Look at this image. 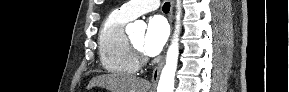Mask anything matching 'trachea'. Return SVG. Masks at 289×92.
I'll return each instance as SVG.
<instances>
[{
    "label": "trachea",
    "mask_w": 289,
    "mask_h": 92,
    "mask_svg": "<svg viewBox=\"0 0 289 92\" xmlns=\"http://www.w3.org/2000/svg\"><path fill=\"white\" fill-rule=\"evenodd\" d=\"M162 9L164 12H168L170 10V3L169 2L164 3Z\"/></svg>",
    "instance_id": "3493384b"
}]
</instances>
